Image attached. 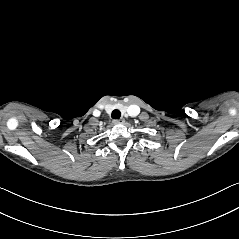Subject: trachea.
<instances>
[{
    "instance_id": "3493384b",
    "label": "trachea",
    "mask_w": 239,
    "mask_h": 239,
    "mask_svg": "<svg viewBox=\"0 0 239 239\" xmlns=\"http://www.w3.org/2000/svg\"><path fill=\"white\" fill-rule=\"evenodd\" d=\"M111 116L113 119H119L121 117V112L119 110L115 109V110H113Z\"/></svg>"
}]
</instances>
